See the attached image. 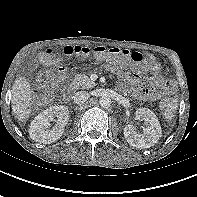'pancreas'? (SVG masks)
Instances as JSON below:
<instances>
[{
    "label": "pancreas",
    "instance_id": "obj_1",
    "mask_svg": "<svg viewBox=\"0 0 197 197\" xmlns=\"http://www.w3.org/2000/svg\"><path fill=\"white\" fill-rule=\"evenodd\" d=\"M95 85V82L91 81L90 78L84 74L75 75L72 83L70 84L73 89H90L95 87Z\"/></svg>",
    "mask_w": 197,
    "mask_h": 197
}]
</instances>
